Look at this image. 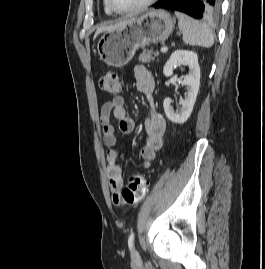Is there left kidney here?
Here are the masks:
<instances>
[{
    "label": "left kidney",
    "mask_w": 265,
    "mask_h": 269,
    "mask_svg": "<svg viewBox=\"0 0 265 269\" xmlns=\"http://www.w3.org/2000/svg\"><path fill=\"white\" fill-rule=\"evenodd\" d=\"M188 65L189 74L184 77L181 84L187 87V93L185 99L182 100V108L180 111H175L171 104L169 97L164 99L163 107L167 118L178 124L185 123L190 117L196 97L199 91L200 85V67L198 64V56L196 53L187 50H176L174 51L168 61L166 62L163 73L166 77L173 74V69L178 65Z\"/></svg>",
    "instance_id": "5707ae66"
}]
</instances>
